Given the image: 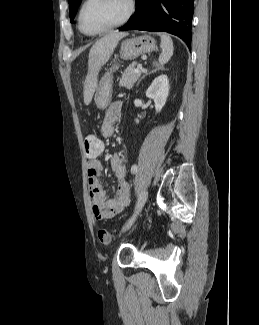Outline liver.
<instances>
[{"instance_id": "6515ba94", "label": "liver", "mask_w": 259, "mask_h": 325, "mask_svg": "<svg viewBox=\"0 0 259 325\" xmlns=\"http://www.w3.org/2000/svg\"><path fill=\"white\" fill-rule=\"evenodd\" d=\"M125 32H111L99 39L89 51V68L91 76L84 88V103L88 105L96 89L95 76L100 68L109 60L119 40L127 36Z\"/></svg>"}]
</instances>
